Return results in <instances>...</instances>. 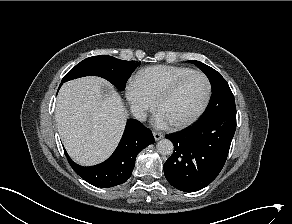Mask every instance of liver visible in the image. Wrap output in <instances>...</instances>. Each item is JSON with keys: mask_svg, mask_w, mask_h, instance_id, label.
Segmentation results:
<instances>
[{"mask_svg": "<svg viewBox=\"0 0 292 224\" xmlns=\"http://www.w3.org/2000/svg\"><path fill=\"white\" fill-rule=\"evenodd\" d=\"M124 111L120 95L102 78L65 83L57 97L55 118L70 157L85 166L105 160L122 135Z\"/></svg>", "mask_w": 292, "mask_h": 224, "instance_id": "liver-1", "label": "liver"}]
</instances>
